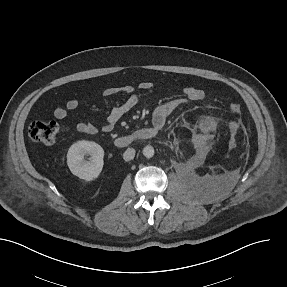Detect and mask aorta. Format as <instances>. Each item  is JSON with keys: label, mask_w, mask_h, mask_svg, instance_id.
I'll return each instance as SVG.
<instances>
[{"label": "aorta", "mask_w": 287, "mask_h": 287, "mask_svg": "<svg viewBox=\"0 0 287 287\" xmlns=\"http://www.w3.org/2000/svg\"><path fill=\"white\" fill-rule=\"evenodd\" d=\"M143 155L146 158H151L154 156V148L152 146H146L143 149Z\"/></svg>", "instance_id": "762f6f07"}]
</instances>
